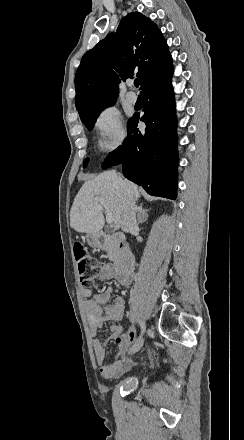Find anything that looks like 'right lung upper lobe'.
<instances>
[{
  "label": "right lung upper lobe",
  "mask_w": 244,
  "mask_h": 440,
  "mask_svg": "<svg viewBox=\"0 0 244 440\" xmlns=\"http://www.w3.org/2000/svg\"><path fill=\"white\" fill-rule=\"evenodd\" d=\"M172 62L157 25L139 12L124 17L116 32L86 52L75 75L77 110L116 99L120 80L133 75L141 86L155 71Z\"/></svg>",
  "instance_id": "right-lung-upper-lobe-1"
}]
</instances>
